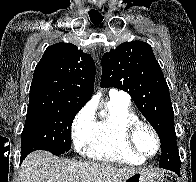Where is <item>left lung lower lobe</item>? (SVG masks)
<instances>
[{"mask_svg":"<svg viewBox=\"0 0 196 182\" xmlns=\"http://www.w3.org/2000/svg\"><path fill=\"white\" fill-rule=\"evenodd\" d=\"M161 160L167 162H175L178 159V153L172 148H162ZM178 175L180 174V169L176 172Z\"/></svg>","mask_w":196,"mask_h":182,"instance_id":"1","label":"left lung lower lobe"}]
</instances>
